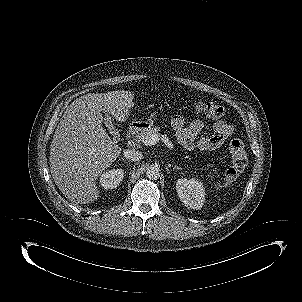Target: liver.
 Here are the masks:
<instances>
[{
    "label": "liver",
    "mask_w": 302,
    "mask_h": 302,
    "mask_svg": "<svg viewBox=\"0 0 302 302\" xmlns=\"http://www.w3.org/2000/svg\"><path fill=\"white\" fill-rule=\"evenodd\" d=\"M128 91L88 93L74 100L55 130L49 156L50 172L69 200L87 204L98 198L95 180L121 153L102 127L104 114L124 122L132 104Z\"/></svg>",
    "instance_id": "obj_1"
}]
</instances>
